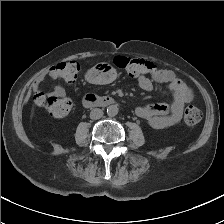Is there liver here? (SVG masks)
<instances>
[{"label": "liver", "instance_id": "obj_1", "mask_svg": "<svg viewBox=\"0 0 224 224\" xmlns=\"http://www.w3.org/2000/svg\"><path fill=\"white\" fill-rule=\"evenodd\" d=\"M30 114H31V118H34V114H35V112H34V105H32Z\"/></svg>", "mask_w": 224, "mask_h": 224}]
</instances>
